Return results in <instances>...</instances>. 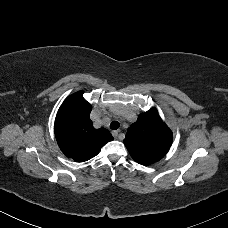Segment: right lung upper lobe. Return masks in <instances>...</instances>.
<instances>
[{
    "label": "right lung upper lobe",
    "instance_id": "obj_1",
    "mask_svg": "<svg viewBox=\"0 0 228 228\" xmlns=\"http://www.w3.org/2000/svg\"><path fill=\"white\" fill-rule=\"evenodd\" d=\"M82 92L70 95L60 107L55 120V136L62 152L76 162L87 161L101 147L113 140L105 128L95 129L89 118L91 105Z\"/></svg>",
    "mask_w": 228,
    "mask_h": 228
}]
</instances>
